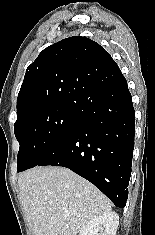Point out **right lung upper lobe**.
<instances>
[{
    "label": "right lung upper lobe",
    "mask_w": 155,
    "mask_h": 235,
    "mask_svg": "<svg viewBox=\"0 0 155 235\" xmlns=\"http://www.w3.org/2000/svg\"><path fill=\"white\" fill-rule=\"evenodd\" d=\"M122 75L105 49L74 36L45 48L27 68L17 97V117L44 105L77 108L97 86Z\"/></svg>",
    "instance_id": "obj_1"
}]
</instances>
